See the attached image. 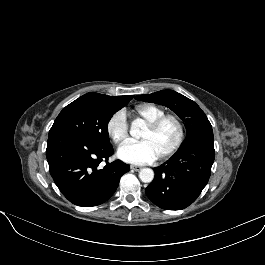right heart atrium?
<instances>
[{
	"label": "right heart atrium",
	"instance_id": "right-heart-atrium-1",
	"mask_svg": "<svg viewBox=\"0 0 265 265\" xmlns=\"http://www.w3.org/2000/svg\"><path fill=\"white\" fill-rule=\"evenodd\" d=\"M106 131L118 145L123 144L128 139V123L123 111H116L110 116L106 124Z\"/></svg>",
	"mask_w": 265,
	"mask_h": 265
}]
</instances>
